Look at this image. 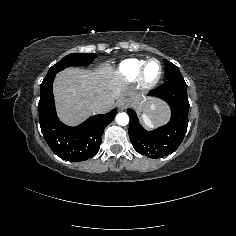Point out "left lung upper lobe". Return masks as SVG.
<instances>
[{
  "instance_id": "left-lung-upper-lobe-1",
  "label": "left lung upper lobe",
  "mask_w": 236,
  "mask_h": 236,
  "mask_svg": "<svg viewBox=\"0 0 236 236\" xmlns=\"http://www.w3.org/2000/svg\"><path fill=\"white\" fill-rule=\"evenodd\" d=\"M164 64L166 67L165 77L167 80L183 79L181 72L179 71L176 65L169 62L168 60H164Z\"/></svg>"
}]
</instances>
